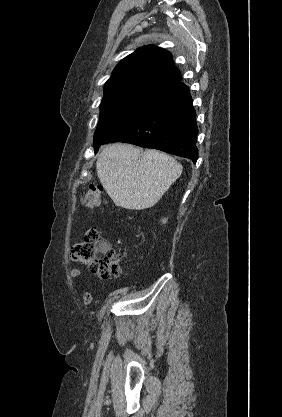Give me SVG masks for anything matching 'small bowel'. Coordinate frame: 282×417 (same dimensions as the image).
<instances>
[{
    "label": "small bowel",
    "mask_w": 282,
    "mask_h": 417,
    "mask_svg": "<svg viewBox=\"0 0 282 417\" xmlns=\"http://www.w3.org/2000/svg\"><path fill=\"white\" fill-rule=\"evenodd\" d=\"M83 272L80 268L74 267L71 268L69 271V275L72 279H77L82 276ZM92 303H98V300L95 299V293L93 290L86 291L82 296V304L83 305H90Z\"/></svg>",
    "instance_id": "c3829d8e"
}]
</instances>
